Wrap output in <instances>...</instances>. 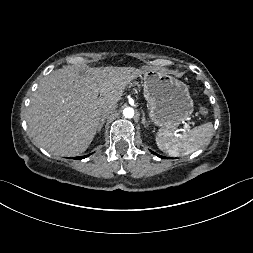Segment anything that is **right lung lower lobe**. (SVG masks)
<instances>
[{
  "label": "right lung lower lobe",
  "mask_w": 253,
  "mask_h": 253,
  "mask_svg": "<svg viewBox=\"0 0 253 253\" xmlns=\"http://www.w3.org/2000/svg\"><path fill=\"white\" fill-rule=\"evenodd\" d=\"M86 156H81V157H76L75 159H83L85 158Z\"/></svg>",
  "instance_id": "right-lung-lower-lobe-1"
}]
</instances>
